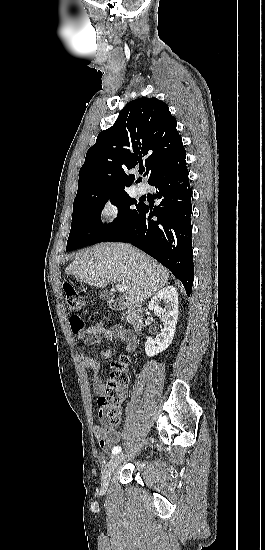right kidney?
<instances>
[{
  "label": "right kidney",
  "instance_id": "ca27d5eb",
  "mask_svg": "<svg viewBox=\"0 0 265 550\" xmlns=\"http://www.w3.org/2000/svg\"><path fill=\"white\" fill-rule=\"evenodd\" d=\"M160 303L165 304L163 309ZM148 309L161 318L164 329L156 338L148 339L145 343V352L148 357H153L166 350L172 343L178 320V293L174 286H167L158 291L151 299Z\"/></svg>",
  "mask_w": 265,
  "mask_h": 550
}]
</instances>
